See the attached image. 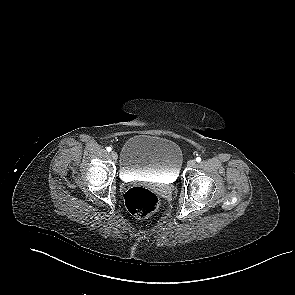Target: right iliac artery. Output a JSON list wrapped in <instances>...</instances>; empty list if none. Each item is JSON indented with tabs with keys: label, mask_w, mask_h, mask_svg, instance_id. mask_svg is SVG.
Masks as SVG:
<instances>
[{
	"label": "right iliac artery",
	"mask_w": 295,
	"mask_h": 295,
	"mask_svg": "<svg viewBox=\"0 0 295 295\" xmlns=\"http://www.w3.org/2000/svg\"><path fill=\"white\" fill-rule=\"evenodd\" d=\"M112 150L111 147H107V151L110 152Z\"/></svg>",
	"instance_id": "right-iliac-artery-1"
}]
</instances>
